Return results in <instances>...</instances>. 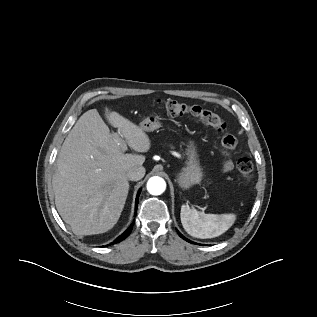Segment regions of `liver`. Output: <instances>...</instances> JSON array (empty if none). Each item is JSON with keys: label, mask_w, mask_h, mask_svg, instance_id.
Instances as JSON below:
<instances>
[{"label": "liver", "mask_w": 317, "mask_h": 317, "mask_svg": "<svg viewBox=\"0 0 317 317\" xmlns=\"http://www.w3.org/2000/svg\"><path fill=\"white\" fill-rule=\"evenodd\" d=\"M105 115L131 149L139 153L150 149V139L139 126L115 111L106 109ZM121 140L91 109L63 142L52 185L57 211L75 235L107 232L123 211L129 191L127 172L142 166L145 156L124 154Z\"/></svg>", "instance_id": "6515ba94"}]
</instances>
